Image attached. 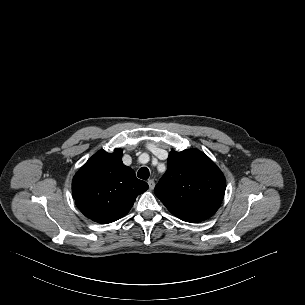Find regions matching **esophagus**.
<instances>
[{"mask_svg":"<svg viewBox=\"0 0 305 305\" xmlns=\"http://www.w3.org/2000/svg\"><path fill=\"white\" fill-rule=\"evenodd\" d=\"M148 185H149V189H150V190H153L154 187H155V181H154V179L148 180Z\"/></svg>","mask_w":305,"mask_h":305,"instance_id":"obj_1","label":"esophagus"}]
</instances>
